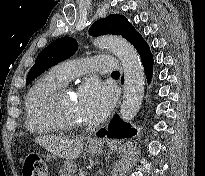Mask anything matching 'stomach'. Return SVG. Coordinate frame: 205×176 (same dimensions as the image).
Returning <instances> with one entry per match:
<instances>
[{
    "instance_id": "0dacf381",
    "label": "stomach",
    "mask_w": 205,
    "mask_h": 176,
    "mask_svg": "<svg viewBox=\"0 0 205 176\" xmlns=\"http://www.w3.org/2000/svg\"><path fill=\"white\" fill-rule=\"evenodd\" d=\"M87 151L91 155H100L103 152V145L100 140L90 139L87 144ZM76 171V164L72 160H66L62 166V176H72Z\"/></svg>"
}]
</instances>
